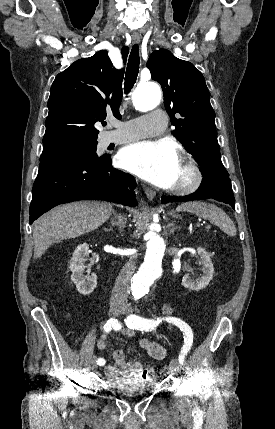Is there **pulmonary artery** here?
<instances>
[{
  "mask_svg": "<svg viewBox=\"0 0 275 429\" xmlns=\"http://www.w3.org/2000/svg\"><path fill=\"white\" fill-rule=\"evenodd\" d=\"M165 124V113L161 110H155L145 116L120 122L118 130L105 137V143L120 144L148 136L159 135L164 130Z\"/></svg>",
  "mask_w": 275,
  "mask_h": 429,
  "instance_id": "e3ab8cb5",
  "label": "pulmonary artery"
}]
</instances>
